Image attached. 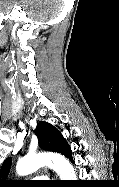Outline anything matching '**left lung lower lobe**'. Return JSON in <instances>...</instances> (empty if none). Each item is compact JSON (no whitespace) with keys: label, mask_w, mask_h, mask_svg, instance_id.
Masks as SVG:
<instances>
[{"label":"left lung lower lobe","mask_w":119,"mask_h":187,"mask_svg":"<svg viewBox=\"0 0 119 187\" xmlns=\"http://www.w3.org/2000/svg\"><path fill=\"white\" fill-rule=\"evenodd\" d=\"M65 157H67L70 161L73 162V158H72L71 150L68 151V153L65 155Z\"/></svg>","instance_id":"obj_1"}]
</instances>
